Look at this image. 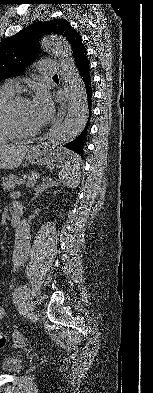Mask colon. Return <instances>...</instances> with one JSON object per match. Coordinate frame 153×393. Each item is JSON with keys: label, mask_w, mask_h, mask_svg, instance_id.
<instances>
[{"label": "colon", "mask_w": 153, "mask_h": 393, "mask_svg": "<svg viewBox=\"0 0 153 393\" xmlns=\"http://www.w3.org/2000/svg\"><path fill=\"white\" fill-rule=\"evenodd\" d=\"M6 341L7 339L4 336L0 335V348L5 345Z\"/></svg>", "instance_id": "1"}]
</instances>
